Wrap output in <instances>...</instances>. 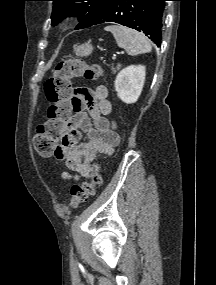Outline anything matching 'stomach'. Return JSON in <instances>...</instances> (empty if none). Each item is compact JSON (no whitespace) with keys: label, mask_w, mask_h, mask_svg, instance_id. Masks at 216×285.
<instances>
[{"label":"stomach","mask_w":216,"mask_h":285,"mask_svg":"<svg viewBox=\"0 0 216 285\" xmlns=\"http://www.w3.org/2000/svg\"><path fill=\"white\" fill-rule=\"evenodd\" d=\"M92 51H93V46L91 45L90 42H87L85 44L78 46L74 52L77 57H87L92 53Z\"/></svg>","instance_id":"obj_1"}]
</instances>
